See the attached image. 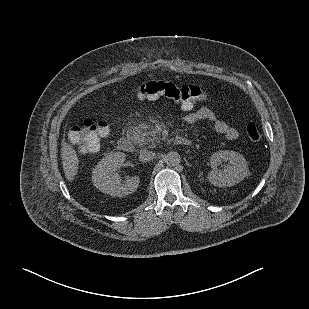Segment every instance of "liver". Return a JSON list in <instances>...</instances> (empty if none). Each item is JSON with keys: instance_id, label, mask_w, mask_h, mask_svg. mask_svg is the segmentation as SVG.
Returning a JSON list of instances; mask_svg holds the SVG:
<instances>
[{"instance_id": "1", "label": "liver", "mask_w": 309, "mask_h": 309, "mask_svg": "<svg viewBox=\"0 0 309 309\" xmlns=\"http://www.w3.org/2000/svg\"><path fill=\"white\" fill-rule=\"evenodd\" d=\"M62 164L65 176L68 181H72L77 174L79 160L76 151L72 146L65 143L62 147Z\"/></svg>"}]
</instances>
